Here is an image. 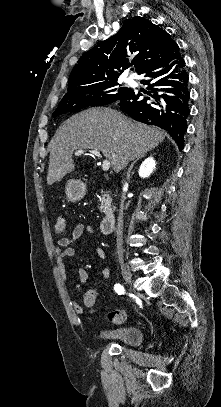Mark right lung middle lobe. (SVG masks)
Masks as SVG:
<instances>
[{"label":"right lung middle lobe","mask_w":221,"mask_h":407,"mask_svg":"<svg viewBox=\"0 0 221 407\" xmlns=\"http://www.w3.org/2000/svg\"><path fill=\"white\" fill-rule=\"evenodd\" d=\"M130 90L127 87H119L116 81L73 90L65 94L53 115L57 116L90 106L108 105L126 95Z\"/></svg>","instance_id":"dd1d6c3e"}]
</instances>
